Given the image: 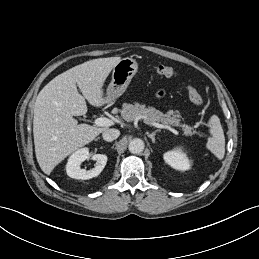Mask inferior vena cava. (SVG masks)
Wrapping results in <instances>:
<instances>
[{"mask_svg": "<svg viewBox=\"0 0 259 259\" xmlns=\"http://www.w3.org/2000/svg\"><path fill=\"white\" fill-rule=\"evenodd\" d=\"M120 135V131L117 129H107L102 133V137L105 141L111 142L117 139Z\"/></svg>", "mask_w": 259, "mask_h": 259, "instance_id": "1", "label": "inferior vena cava"}]
</instances>
